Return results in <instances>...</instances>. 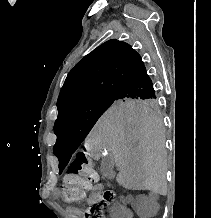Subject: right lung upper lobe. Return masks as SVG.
Listing matches in <instances>:
<instances>
[{
    "label": "right lung upper lobe",
    "instance_id": "obj_1",
    "mask_svg": "<svg viewBox=\"0 0 211 218\" xmlns=\"http://www.w3.org/2000/svg\"><path fill=\"white\" fill-rule=\"evenodd\" d=\"M143 65L140 55L127 43L115 39L103 43L68 74L57 100L58 115L86 100L118 95Z\"/></svg>",
    "mask_w": 211,
    "mask_h": 218
}]
</instances>
